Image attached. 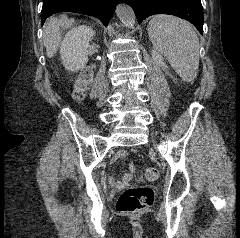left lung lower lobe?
<instances>
[{
	"mask_svg": "<svg viewBox=\"0 0 240 238\" xmlns=\"http://www.w3.org/2000/svg\"><path fill=\"white\" fill-rule=\"evenodd\" d=\"M134 10L138 23L154 14H169L191 22L203 34L201 0H125Z\"/></svg>",
	"mask_w": 240,
	"mask_h": 238,
	"instance_id": "0a47b994",
	"label": "left lung lower lobe"
}]
</instances>
